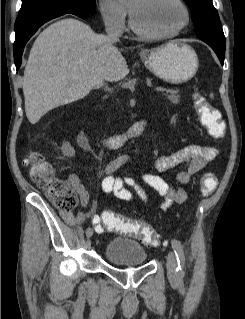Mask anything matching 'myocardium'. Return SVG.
<instances>
[{"instance_id": "1", "label": "myocardium", "mask_w": 245, "mask_h": 319, "mask_svg": "<svg viewBox=\"0 0 245 319\" xmlns=\"http://www.w3.org/2000/svg\"><path fill=\"white\" fill-rule=\"evenodd\" d=\"M174 2L179 5V7L182 9L184 13V21L182 25L178 27L176 30L172 32H167V33H152V32L145 31L136 24L133 18V15L129 9L130 28L138 36L143 37L145 39H150V40H164V39H170V38H174L178 36L189 26L191 18H190V12L182 0H174Z\"/></svg>"}]
</instances>
